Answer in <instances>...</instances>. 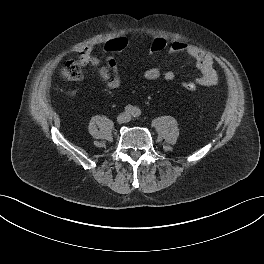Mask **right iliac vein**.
<instances>
[{
  "instance_id": "63e3f726",
  "label": "right iliac vein",
  "mask_w": 264,
  "mask_h": 264,
  "mask_svg": "<svg viewBox=\"0 0 264 264\" xmlns=\"http://www.w3.org/2000/svg\"><path fill=\"white\" fill-rule=\"evenodd\" d=\"M123 120H124V116L123 115L118 117V122H122Z\"/></svg>"
}]
</instances>
